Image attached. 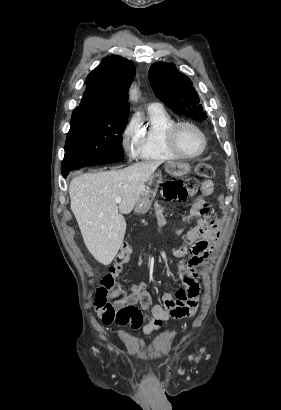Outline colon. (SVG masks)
I'll list each match as a JSON object with an SVG mask.
<instances>
[{
    "label": "colon",
    "instance_id": "1",
    "mask_svg": "<svg viewBox=\"0 0 281 410\" xmlns=\"http://www.w3.org/2000/svg\"><path fill=\"white\" fill-rule=\"evenodd\" d=\"M196 173L198 176L206 179H211L215 175L214 168L207 164L201 163L196 168ZM189 194V188L183 181L174 180L164 184L163 186V195L167 201H183L187 198ZM131 246L125 243L121 249L119 250L116 256V262L118 264H126L129 262L131 257ZM198 306V301L191 300L188 303V307H186L183 311L184 313L188 314L193 309H196ZM129 315H132L133 322H130ZM102 319L105 323L110 324L114 321L118 325H127L130 324L131 327L136 330V327L139 326L140 323V311L137 310H128L127 312L123 311H113L109 310L102 316Z\"/></svg>",
    "mask_w": 281,
    "mask_h": 410
}]
</instances>
